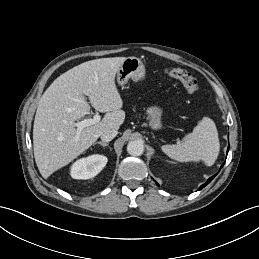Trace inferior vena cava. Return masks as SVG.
Returning <instances> with one entry per match:
<instances>
[{
  "instance_id": "inferior-vena-cava-1",
  "label": "inferior vena cava",
  "mask_w": 259,
  "mask_h": 259,
  "mask_svg": "<svg viewBox=\"0 0 259 259\" xmlns=\"http://www.w3.org/2000/svg\"><path fill=\"white\" fill-rule=\"evenodd\" d=\"M117 134H118V131L115 130V129L105 130V131L101 134V140H102L103 142H109V141H111Z\"/></svg>"
}]
</instances>
